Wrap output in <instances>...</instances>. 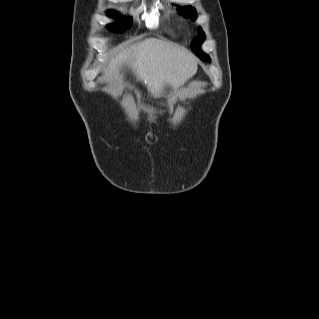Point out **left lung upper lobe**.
<instances>
[{"label":"left lung upper lobe","mask_w":319,"mask_h":319,"mask_svg":"<svg viewBox=\"0 0 319 319\" xmlns=\"http://www.w3.org/2000/svg\"><path fill=\"white\" fill-rule=\"evenodd\" d=\"M178 12L180 14H183L185 17H190L192 20H195L196 19V10L195 9H192V7L188 6V7H183V8H179L178 9ZM205 39V36H204V32L202 31V29L199 27L198 28V36L194 39V41L192 42V50L194 51V53L196 55H199V54H203L205 55L199 45L204 41ZM206 56V55H205ZM207 57V56H206ZM207 60L208 57H207Z\"/></svg>","instance_id":"left-lung-upper-lobe-1"}]
</instances>
